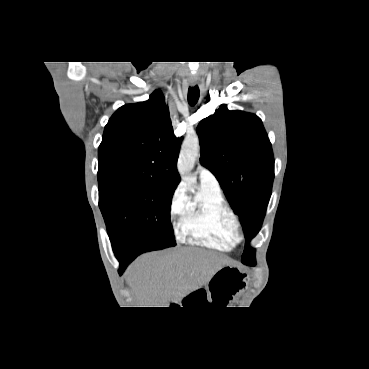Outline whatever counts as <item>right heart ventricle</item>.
<instances>
[{"mask_svg": "<svg viewBox=\"0 0 369 369\" xmlns=\"http://www.w3.org/2000/svg\"><path fill=\"white\" fill-rule=\"evenodd\" d=\"M178 226L191 244L211 249L229 250L239 240L233 213L221 190L204 185L187 199Z\"/></svg>", "mask_w": 369, "mask_h": 369, "instance_id": "e07e8e85", "label": "right heart ventricle"}]
</instances>
